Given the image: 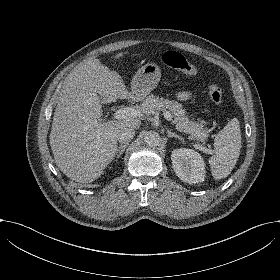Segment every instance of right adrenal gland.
<instances>
[{
	"mask_svg": "<svg viewBox=\"0 0 280 280\" xmlns=\"http://www.w3.org/2000/svg\"><path fill=\"white\" fill-rule=\"evenodd\" d=\"M126 147H127V144L126 145L121 144L118 147H116L114 156L120 157V155L123 154V151L125 150Z\"/></svg>",
	"mask_w": 280,
	"mask_h": 280,
	"instance_id": "obj_1",
	"label": "right adrenal gland"
}]
</instances>
